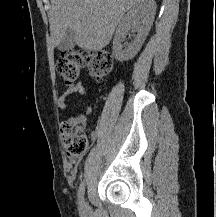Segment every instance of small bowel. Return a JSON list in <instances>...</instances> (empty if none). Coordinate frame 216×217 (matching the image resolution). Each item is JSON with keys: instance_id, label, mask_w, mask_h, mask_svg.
Here are the masks:
<instances>
[{"instance_id": "1", "label": "small bowel", "mask_w": 216, "mask_h": 217, "mask_svg": "<svg viewBox=\"0 0 216 217\" xmlns=\"http://www.w3.org/2000/svg\"><path fill=\"white\" fill-rule=\"evenodd\" d=\"M87 92H88V90L83 83H78V84H75V85L67 88L58 100V107H59L60 111H64L65 109H67V107L69 105L68 99L71 96H73L75 94L84 95V94H87ZM77 102L84 107V110L87 114L91 113L92 109L89 105L83 103L80 100H78Z\"/></svg>"}]
</instances>
